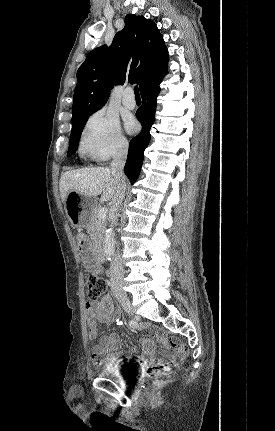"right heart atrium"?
Instances as JSON below:
<instances>
[{
  "label": "right heart atrium",
  "mask_w": 275,
  "mask_h": 431,
  "mask_svg": "<svg viewBox=\"0 0 275 431\" xmlns=\"http://www.w3.org/2000/svg\"><path fill=\"white\" fill-rule=\"evenodd\" d=\"M127 149L128 141L115 115L100 109L88 118L80 138L84 155L101 162L124 154Z\"/></svg>",
  "instance_id": "d8ad5b80"
}]
</instances>
